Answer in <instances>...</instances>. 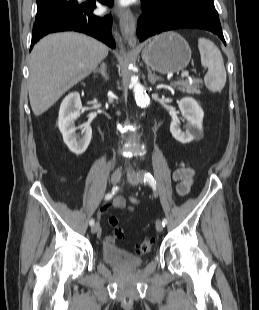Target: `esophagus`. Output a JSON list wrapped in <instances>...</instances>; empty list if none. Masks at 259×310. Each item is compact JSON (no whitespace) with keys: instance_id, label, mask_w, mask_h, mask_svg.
Segmentation results:
<instances>
[{"instance_id":"esophagus-1","label":"esophagus","mask_w":259,"mask_h":310,"mask_svg":"<svg viewBox=\"0 0 259 310\" xmlns=\"http://www.w3.org/2000/svg\"><path fill=\"white\" fill-rule=\"evenodd\" d=\"M116 15L120 20V28L123 37L131 47L136 46L135 28L136 21L130 10L117 7L115 10Z\"/></svg>"}]
</instances>
